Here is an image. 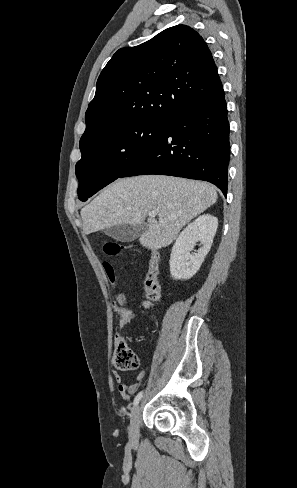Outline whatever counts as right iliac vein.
I'll list each match as a JSON object with an SVG mask.
<instances>
[{
  "label": "right iliac vein",
  "instance_id": "obj_1",
  "mask_svg": "<svg viewBox=\"0 0 297 488\" xmlns=\"http://www.w3.org/2000/svg\"><path fill=\"white\" fill-rule=\"evenodd\" d=\"M140 411L141 408L137 405L133 408L130 416L129 441L132 445H137L139 440Z\"/></svg>",
  "mask_w": 297,
  "mask_h": 488
}]
</instances>
